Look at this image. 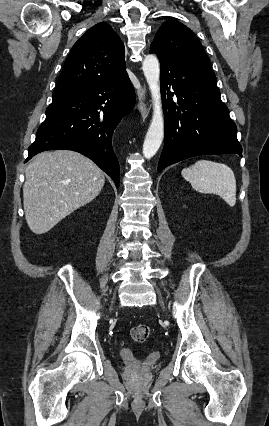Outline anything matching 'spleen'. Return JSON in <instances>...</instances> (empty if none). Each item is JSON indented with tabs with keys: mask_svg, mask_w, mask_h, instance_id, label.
Masks as SVG:
<instances>
[{
	"mask_svg": "<svg viewBox=\"0 0 269 426\" xmlns=\"http://www.w3.org/2000/svg\"><path fill=\"white\" fill-rule=\"evenodd\" d=\"M182 176L200 193L219 195L229 206L236 204V179L225 164L200 160L182 170Z\"/></svg>",
	"mask_w": 269,
	"mask_h": 426,
	"instance_id": "1",
	"label": "spleen"
}]
</instances>
